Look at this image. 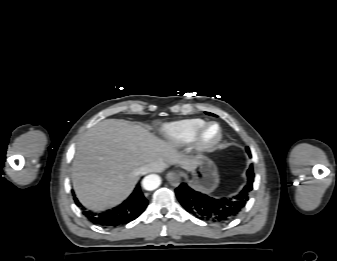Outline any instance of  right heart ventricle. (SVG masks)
Wrapping results in <instances>:
<instances>
[{
    "label": "right heart ventricle",
    "mask_w": 337,
    "mask_h": 261,
    "mask_svg": "<svg viewBox=\"0 0 337 261\" xmlns=\"http://www.w3.org/2000/svg\"><path fill=\"white\" fill-rule=\"evenodd\" d=\"M204 124L206 122L200 118L180 120L163 126L162 134L172 145L184 146L193 141Z\"/></svg>",
    "instance_id": "obj_1"
}]
</instances>
